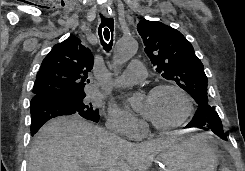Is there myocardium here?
<instances>
[{
	"label": "myocardium",
	"instance_id": "1",
	"mask_svg": "<svg viewBox=\"0 0 245 171\" xmlns=\"http://www.w3.org/2000/svg\"><path fill=\"white\" fill-rule=\"evenodd\" d=\"M164 90H175V91H177L183 97L185 104H186V108H185L183 115L181 116V118L179 120H177L174 123H171L168 125H160V124H157L151 120L149 121L150 125L153 128H155L156 130L170 131V130L176 129V128L180 127L181 125H183L189 119V117L192 115L193 100L185 89H183L181 86H179L177 84H172V83H163V84H159V85L154 86L152 89H150L149 95H152V94L164 91Z\"/></svg>",
	"mask_w": 245,
	"mask_h": 171
}]
</instances>
